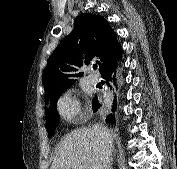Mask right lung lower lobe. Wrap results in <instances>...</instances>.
Segmentation results:
<instances>
[{
  "label": "right lung lower lobe",
  "instance_id": "obj_1",
  "mask_svg": "<svg viewBox=\"0 0 177 169\" xmlns=\"http://www.w3.org/2000/svg\"><path fill=\"white\" fill-rule=\"evenodd\" d=\"M102 77L106 80L107 86L113 91H118L121 86L120 82V64L119 61L101 72ZM101 107V104L98 101V98L95 97L92 101L93 112H96ZM117 96L115 94L113 105L111 107V112L106 115V121L111 124H116L117 118Z\"/></svg>",
  "mask_w": 177,
  "mask_h": 169
}]
</instances>
